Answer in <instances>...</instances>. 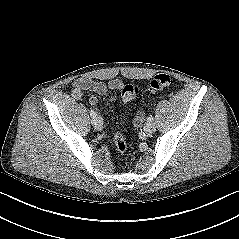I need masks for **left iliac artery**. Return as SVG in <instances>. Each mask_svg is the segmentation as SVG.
Segmentation results:
<instances>
[{
	"label": "left iliac artery",
	"instance_id": "left-iliac-artery-1",
	"mask_svg": "<svg viewBox=\"0 0 239 239\" xmlns=\"http://www.w3.org/2000/svg\"><path fill=\"white\" fill-rule=\"evenodd\" d=\"M153 119H154V118H153V116H151V115H150L149 117H147V121H148V122H152Z\"/></svg>",
	"mask_w": 239,
	"mask_h": 239
}]
</instances>
